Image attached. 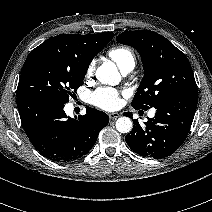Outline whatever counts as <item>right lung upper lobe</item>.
I'll return each mask as SVG.
<instances>
[{
  "label": "right lung upper lobe",
  "instance_id": "right-lung-upper-lobe-1",
  "mask_svg": "<svg viewBox=\"0 0 212 212\" xmlns=\"http://www.w3.org/2000/svg\"><path fill=\"white\" fill-rule=\"evenodd\" d=\"M113 36L114 33L112 32L90 35L61 34L46 40L38 47L33 49L28 55V58L35 56H44L63 61H72L73 58H77L79 55V46L98 43L106 38L111 40ZM90 62V60H86L83 62V64H90Z\"/></svg>",
  "mask_w": 212,
  "mask_h": 212
}]
</instances>
